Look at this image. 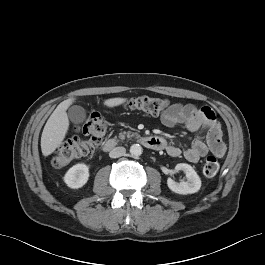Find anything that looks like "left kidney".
<instances>
[{
  "mask_svg": "<svg viewBox=\"0 0 265 265\" xmlns=\"http://www.w3.org/2000/svg\"><path fill=\"white\" fill-rule=\"evenodd\" d=\"M176 171H183L186 174L187 181L176 182L172 178L167 179L169 189L177 194H193L200 190L201 179L192 166L186 163L177 164Z\"/></svg>",
  "mask_w": 265,
  "mask_h": 265,
  "instance_id": "5707ae66",
  "label": "left kidney"
}]
</instances>
